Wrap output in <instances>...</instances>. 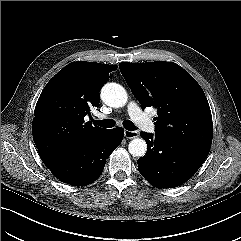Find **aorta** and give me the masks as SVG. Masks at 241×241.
Segmentation results:
<instances>
[{"mask_svg": "<svg viewBox=\"0 0 241 241\" xmlns=\"http://www.w3.org/2000/svg\"><path fill=\"white\" fill-rule=\"evenodd\" d=\"M101 98L110 107L119 108L127 103L126 90L117 83H107L101 90ZM129 153L134 157H143L147 151V144L141 138L133 139L128 145Z\"/></svg>", "mask_w": 241, "mask_h": 241, "instance_id": "762f6f07", "label": "aorta"}]
</instances>
